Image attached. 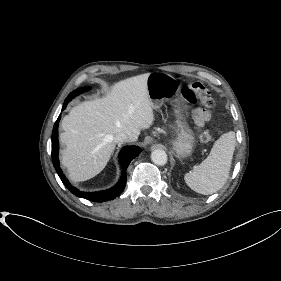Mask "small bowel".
I'll return each mask as SVG.
<instances>
[{
	"mask_svg": "<svg viewBox=\"0 0 281 281\" xmlns=\"http://www.w3.org/2000/svg\"><path fill=\"white\" fill-rule=\"evenodd\" d=\"M194 121L198 126H203L210 118V112L204 109H196L193 113Z\"/></svg>",
	"mask_w": 281,
	"mask_h": 281,
	"instance_id": "obj_1",
	"label": "small bowel"
}]
</instances>
